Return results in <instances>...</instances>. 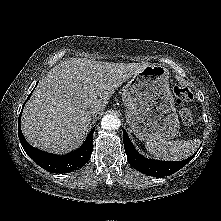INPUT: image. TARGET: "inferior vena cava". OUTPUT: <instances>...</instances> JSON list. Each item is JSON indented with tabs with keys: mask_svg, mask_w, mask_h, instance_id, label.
Wrapping results in <instances>:
<instances>
[{
	"mask_svg": "<svg viewBox=\"0 0 221 221\" xmlns=\"http://www.w3.org/2000/svg\"><path fill=\"white\" fill-rule=\"evenodd\" d=\"M99 113V109L98 108H94V109H92L91 111H90V114L92 115V116H95V115H97Z\"/></svg>",
	"mask_w": 221,
	"mask_h": 221,
	"instance_id": "1",
	"label": "inferior vena cava"
}]
</instances>
